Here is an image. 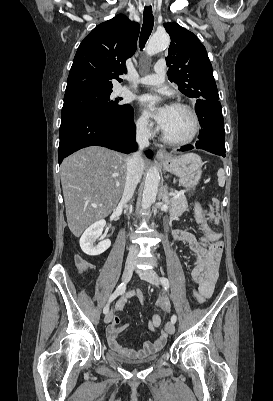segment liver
Segmentation results:
<instances>
[{
	"instance_id": "1",
	"label": "liver",
	"mask_w": 273,
	"mask_h": 401,
	"mask_svg": "<svg viewBox=\"0 0 273 401\" xmlns=\"http://www.w3.org/2000/svg\"><path fill=\"white\" fill-rule=\"evenodd\" d=\"M60 172L68 227L80 237L119 203L126 182L127 156L103 146H88L64 158Z\"/></svg>"
}]
</instances>
